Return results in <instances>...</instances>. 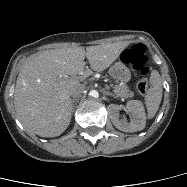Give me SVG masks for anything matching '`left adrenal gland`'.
I'll list each match as a JSON object with an SVG mask.
<instances>
[{
    "mask_svg": "<svg viewBox=\"0 0 187 187\" xmlns=\"http://www.w3.org/2000/svg\"><path fill=\"white\" fill-rule=\"evenodd\" d=\"M104 94H105V95L112 96V97H114V98H117L113 93L108 92V91H104Z\"/></svg>",
    "mask_w": 187,
    "mask_h": 187,
    "instance_id": "1",
    "label": "left adrenal gland"
}]
</instances>
